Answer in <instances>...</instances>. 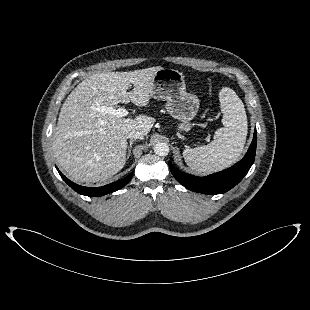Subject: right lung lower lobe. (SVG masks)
Here are the masks:
<instances>
[{
    "instance_id": "obj_1",
    "label": "right lung lower lobe",
    "mask_w": 310,
    "mask_h": 310,
    "mask_svg": "<svg viewBox=\"0 0 310 310\" xmlns=\"http://www.w3.org/2000/svg\"><path fill=\"white\" fill-rule=\"evenodd\" d=\"M57 168V167H56ZM58 170V168H57ZM60 176L62 177V179L72 188L74 189L77 193L82 194V195H86L89 197H99L108 193H112L120 188H122L123 186H125L132 178L133 172L130 173L127 177L113 182L111 184L102 186V187H95V188H91V187H84V186H80L77 185L75 183H73L72 181H70L69 179H67L59 170H58Z\"/></svg>"
}]
</instances>
